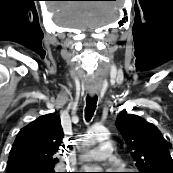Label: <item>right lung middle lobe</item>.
<instances>
[{
  "instance_id": "dd1d6c3e",
  "label": "right lung middle lobe",
  "mask_w": 173,
  "mask_h": 173,
  "mask_svg": "<svg viewBox=\"0 0 173 173\" xmlns=\"http://www.w3.org/2000/svg\"><path fill=\"white\" fill-rule=\"evenodd\" d=\"M30 173H56L54 169L31 171Z\"/></svg>"
}]
</instances>
